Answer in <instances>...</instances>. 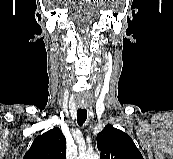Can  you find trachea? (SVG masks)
<instances>
[{"instance_id":"3493384b","label":"trachea","mask_w":173,"mask_h":159,"mask_svg":"<svg viewBox=\"0 0 173 159\" xmlns=\"http://www.w3.org/2000/svg\"><path fill=\"white\" fill-rule=\"evenodd\" d=\"M87 119V110L78 109L77 110V123L79 126H82Z\"/></svg>"}]
</instances>
